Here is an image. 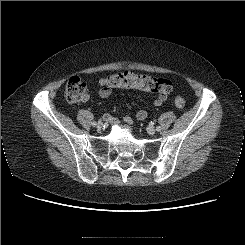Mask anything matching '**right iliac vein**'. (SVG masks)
I'll list each match as a JSON object with an SVG mask.
<instances>
[{
	"mask_svg": "<svg viewBox=\"0 0 245 245\" xmlns=\"http://www.w3.org/2000/svg\"><path fill=\"white\" fill-rule=\"evenodd\" d=\"M96 127H97L98 129L103 128V123H102V122H98V123L96 124Z\"/></svg>",
	"mask_w": 245,
	"mask_h": 245,
	"instance_id": "63e3f726",
	"label": "right iliac vein"
}]
</instances>
